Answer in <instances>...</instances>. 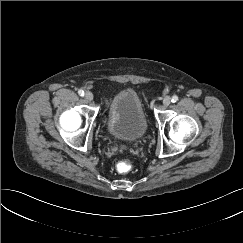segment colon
Here are the masks:
<instances>
[{"mask_svg": "<svg viewBox=\"0 0 243 243\" xmlns=\"http://www.w3.org/2000/svg\"><path fill=\"white\" fill-rule=\"evenodd\" d=\"M131 169H132V164L129 161H121L116 165V170L119 173H127Z\"/></svg>", "mask_w": 243, "mask_h": 243, "instance_id": "1", "label": "colon"}]
</instances>
